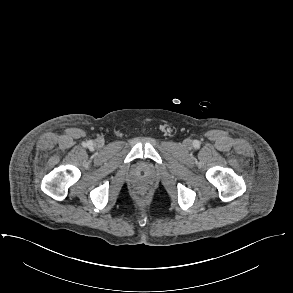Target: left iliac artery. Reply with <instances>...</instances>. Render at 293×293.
Instances as JSON below:
<instances>
[{"mask_svg": "<svg viewBox=\"0 0 293 293\" xmlns=\"http://www.w3.org/2000/svg\"><path fill=\"white\" fill-rule=\"evenodd\" d=\"M194 147H198L199 146V142L198 141H194L193 142Z\"/></svg>", "mask_w": 293, "mask_h": 293, "instance_id": "obj_1", "label": "left iliac artery"}]
</instances>
